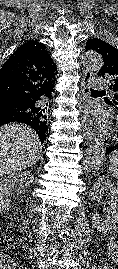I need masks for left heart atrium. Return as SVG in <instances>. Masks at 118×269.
Masks as SVG:
<instances>
[{
	"instance_id": "39dd6f15",
	"label": "left heart atrium",
	"mask_w": 118,
	"mask_h": 269,
	"mask_svg": "<svg viewBox=\"0 0 118 269\" xmlns=\"http://www.w3.org/2000/svg\"><path fill=\"white\" fill-rule=\"evenodd\" d=\"M86 121L102 129L106 123L105 116L96 110L86 111Z\"/></svg>"
}]
</instances>
